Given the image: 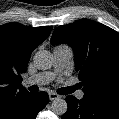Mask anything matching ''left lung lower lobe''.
Segmentation results:
<instances>
[{"instance_id":"left-lung-lower-lobe-1","label":"left lung lower lobe","mask_w":119,"mask_h":119,"mask_svg":"<svg viewBox=\"0 0 119 119\" xmlns=\"http://www.w3.org/2000/svg\"><path fill=\"white\" fill-rule=\"evenodd\" d=\"M68 110L62 119H119V104L84 95L81 100L67 96Z\"/></svg>"}]
</instances>
